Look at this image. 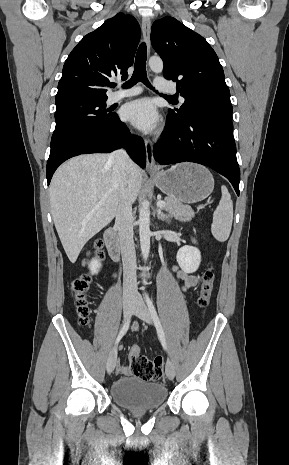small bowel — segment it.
<instances>
[{
  "instance_id": "small-bowel-1",
  "label": "small bowel",
  "mask_w": 289,
  "mask_h": 465,
  "mask_svg": "<svg viewBox=\"0 0 289 465\" xmlns=\"http://www.w3.org/2000/svg\"><path fill=\"white\" fill-rule=\"evenodd\" d=\"M177 279L182 283V287L184 290L194 287L197 284V277L193 274H188L187 272L183 271L182 269L175 267L174 268ZM135 330L138 329L137 323L133 325ZM117 371L121 375H129L131 370L123 365H117Z\"/></svg>"
}]
</instances>
